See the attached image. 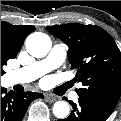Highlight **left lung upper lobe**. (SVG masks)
I'll use <instances>...</instances> for the list:
<instances>
[{
    "mask_svg": "<svg viewBox=\"0 0 121 121\" xmlns=\"http://www.w3.org/2000/svg\"><path fill=\"white\" fill-rule=\"evenodd\" d=\"M68 45V58L83 88L79 97L112 113L121 93V52L101 27L77 23L48 26Z\"/></svg>",
    "mask_w": 121,
    "mask_h": 121,
    "instance_id": "left-lung-upper-lobe-1",
    "label": "left lung upper lobe"
}]
</instances>
